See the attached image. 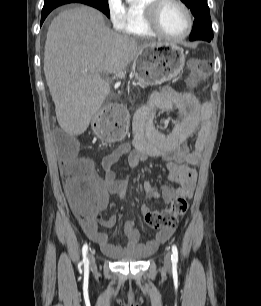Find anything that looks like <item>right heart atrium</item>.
<instances>
[{"label": "right heart atrium", "mask_w": 261, "mask_h": 306, "mask_svg": "<svg viewBox=\"0 0 261 306\" xmlns=\"http://www.w3.org/2000/svg\"><path fill=\"white\" fill-rule=\"evenodd\" d=\"M106 6L112 27L122 30L126 19V7L123 0H107Z\"/></svg>", "instance_id": "right-heart-atrium-1"}]
</instances>
